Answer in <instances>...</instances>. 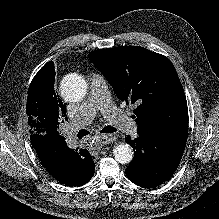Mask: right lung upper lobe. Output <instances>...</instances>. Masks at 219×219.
<instances>
[{"instance_id": "cb5924a9", "label": "right lung upper lobe", "mask_w": 219, "mask_h": 219, "mask_svg": "<svg viewBox=\"0 0 219 219\" xmlns=\"http://www.w3.org/2000/svg\"><path fill=\"white\" fill-rule=\"evenodd\" d=\"M54 81H55V69L52 61L45 64L39 72L35 75L32 80V83L39 84L41 91L47 99H55L62 106V117L64 120H67L65 105H63L60 100L58 93L55 92L54 89ZM44 136L42 133L31 132V143H33L37 138Z\"/></svg>"}]
</instances>
